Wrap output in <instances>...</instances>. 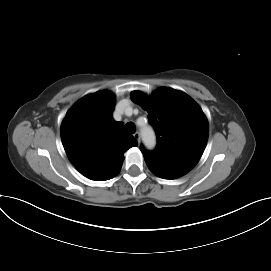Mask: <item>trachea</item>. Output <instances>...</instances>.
I'll use <instances>...</instances> for the list:
<instances>
[{"label":"trachea","mask_w":271,"mask_h":271,"mask_svg":"<svg viewBox=\"0 0 271 271\" xmlns=\"http://www.w3.org/2000/svg\"><path fill=\"white\" fill-rule=\"evenodd\" d=\"M125 131H126L128 134H133V133L135 132V125H134V123L128 122V123L125 125Z\"/></svg>","instance_id":"trachea-1"}]
</instances>
